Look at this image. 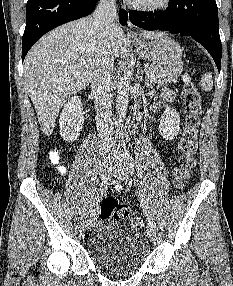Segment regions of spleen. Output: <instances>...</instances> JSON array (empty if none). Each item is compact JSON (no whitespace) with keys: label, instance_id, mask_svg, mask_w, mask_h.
Segmentation results:
<instances>
[{"label":"spleen","instance_id":"3e777b00","mask_svg":"<svg viewBox=\"0 0 233 286\" xmlns=\"http://www.w3.org/2000/svg\"><path fill=\"white\" fill-rule=\"evenodd\" d=\"M200 86L202 88V90L204 91H211L213 88V79H212V74L209 73H205L200 81Z\"/></svg>","mask_w":233,"mask_h":286}]
</instances>
